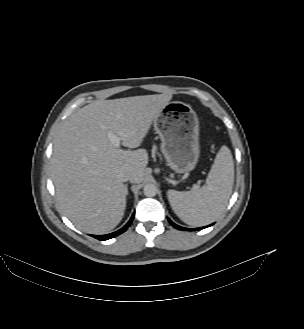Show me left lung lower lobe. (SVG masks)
<instances>
[{
  "instance_id": "0a47b994",
  "label": "left lung lower lobe",
  "mask_w": 304,
  "mask_h": 329,
  "mask_svg": "<svg viewBox=\"0 0 304 329\" xmlns=\"http://www.w3.org/2000/svg\"><path fill=\"white\" fill-rule=\"evenodd\" d=\"M168 221L170 222V224H172L175 228H177L178 230H182V231H193V230H201L203 228L206 227H201V228H195V229H188V228H184L181 226L176 225L175 223H173L170 219H168ZM208 227V226H207Z\"/></svg>"
}]
</instances>
